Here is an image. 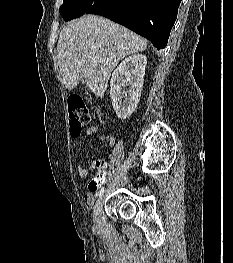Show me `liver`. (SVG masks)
Instances as JSON below:
<instances>
[{
	"instance_id": "liver-1",
	"label": "liver",
	"mask_w": 233,
	"mask_h": 263,
	"mask_svg": "<svg viewBox=\"0 0 233 263\" xmlns=\"http://www.w3.org/2000/svg\"><path fill=\"white\" fill-rule=\"evenodd\" d=\"M147 41L109 19L85 15L68 23L57 44V64L68 90L79 81L98 97L107 89L110 75L125 57L142 52ZM90 59L97 64L91 66Z\"/></svg>"
}]
</instances>
